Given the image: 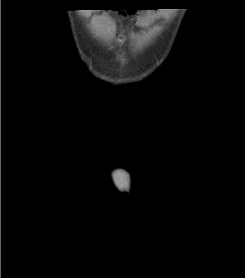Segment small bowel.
<instances>
[{
    "instance_id": "c3829d8e",
    "label": "small bowel",
    "mask_w": 245,
    "mask_h": 278,
    "mask_svg": "<svg viewBox=\"0 0 245 278\" xmlns=\"http://www.w3.org/2000/svg\"><path fill=\"white\" fill-rule=\"evenodd\" d=\"M113 1H114V0H113ZM116 1H122V0H116ZM124 1H126V0H123V2H124Z\"/></svg>"
}]
</instances>
